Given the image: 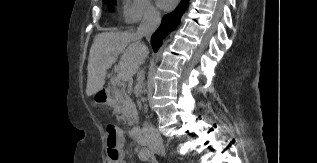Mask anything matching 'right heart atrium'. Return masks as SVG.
Masks as SVG:
<instances>
[{
    "mask_svg": "<svg viewBox=\"0 0 317 163\" xmlns=\"http://www.w3.org/2000/svg\"><path fill=\"white\" fill-rule=\"evenodd\" d=\"M122 15L127 24L157 19L160 15L151 0H122Z\"/></svg>",
    "mask_w": 317,
    "mask_h": 163,
    "instance_id": "d8ad5b80",
    "label": "right heart atrium"
}]
</instances>
